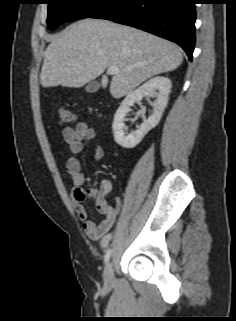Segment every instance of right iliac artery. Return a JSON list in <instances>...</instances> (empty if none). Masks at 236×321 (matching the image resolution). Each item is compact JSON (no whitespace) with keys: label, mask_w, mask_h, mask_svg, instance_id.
<instances>
[{"label":"right iliac artery","mask_w":236,"mask_h":321,"mask_svg":"<svg viewBox=\"0 0 236 321\" xmlns=\"http://www.w3.org/2000/svg\"><path fill=\"white\" fill-rule=\"evenodd\" d=\"M111 252L112 250L111 249H108L106 254H105V257H104V262L107 263L110 259V256H111Z\"/></svg>","instance_id":"right-iliac-artery-1"}]
</instances>
